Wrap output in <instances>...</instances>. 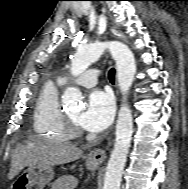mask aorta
Returning <instances> with one entry per match:
<instances>
[{
  "label": "aorta",
  "instance_id": "obj_1",
  "mask_svg": "<svg viewBox=\"0 0 188 189\" xmlns=\"http://www.w3.org/2000/svg\"><path fill=\"white\" fill-rule=\"evenodd\" d=\"M106 49L110 51L116 62L118 85L124 100L118 114L115 144L107 164L103 189H120L133 133V119L131 110L126 103V94L136 73L134 55L122 42H95L77 49L70 71L73 76H79L97 61ZM62 103L69 108L81 106L80 91L77 88L68 87L63 93Z\"/></svg>",
  "mask_w": 188,
  "mask_h": 189
}]
</instances>
